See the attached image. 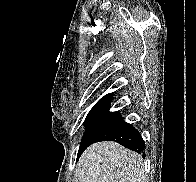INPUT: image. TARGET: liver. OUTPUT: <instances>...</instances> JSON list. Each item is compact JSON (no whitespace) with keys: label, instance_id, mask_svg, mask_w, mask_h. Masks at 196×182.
I'll use <instances>...</instances> for the list:
<instances>
[{"label":"liver","instance_id":"6515ba94","mask_svg":"<svg viewBox=\"0 0 196 182\" xmlns=\"http://www.w3.org/2000/svg\"><path fill=\"white\" fill-rule=\"evenodd\" d=\"M79 182H145L143 159L115 142H99L82 154Z\"/></svg>","mask_w":196,"mask_h":182}]
</instances>
